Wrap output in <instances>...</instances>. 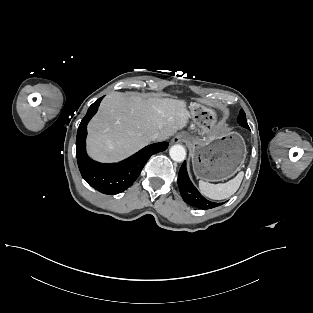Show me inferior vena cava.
I'll use <instances>...</instances> for the list:
<instances>
[{
  "label": "inferior vena cava",
  "mask_w": 313,
  "mask_h": 313,
  "mask_svg": "<svg viewBox=\"0 0 313 313\" xmlns=\"http://www.w3.org/2000/svg\"><path fill=\"white\" fill-rule=\"evenodd\" d=\"M161 134L159 132L153 133L150 135V139L155 141V140H161Z\"/></svg>",
  "instance_id": "602c4592"
}]
</instances>
